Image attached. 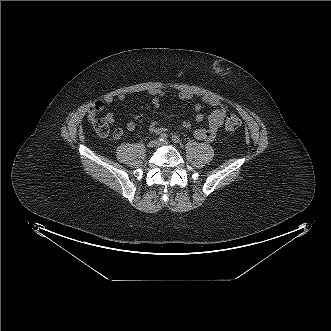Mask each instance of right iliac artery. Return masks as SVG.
Listing matches in <instances>:
<instances>
[{
    "label": "right iliac artery",
    "mask_w": 331,
    "mask_h": 331,
    "mask_svg": "<svg viewBox=\"0 0 331 331\" xmlns=\"http://www.w3.org/2000/svg\"><path fill=\"white\" fill-rule=\"evenodd\" d=\"M167 138H168V135L165 134V133H163V134H161V135L159 136V141L164 142V141L167 140Z\"/></svg>",
    "instance_id": "obj_1"
}]
</instances>
